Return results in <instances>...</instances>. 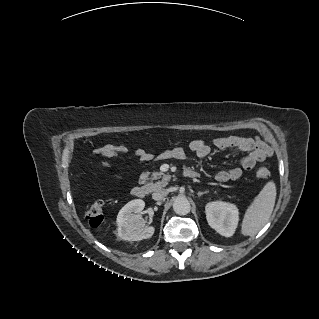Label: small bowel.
<instances>
[{
  "label": "small bowel",
  "instance_id": "small-bowel-1",
  "mask_svg": "<svg viewBox=\"0 0 319 319\" xmlns=\"http://www.w3.org/2000/svg\"><path fill=\"white\" fill-rule=\"evenodd\" d=\"M212 147L219 150L234 149L246 153L241 158L239 165L222 169L216 172L215 179L218 182L234 181L239 179L244 171H251L257 163L262 162L269 155L267 146L259 139L246 136H228L213 140L211 144L202 139L192 140L189 149L198 158L207 157ZM133 154L141 161L147 162L153 159L152 155L142 147L131 148L125 143H108L95 151V155L100 160L102 169L114 180H119V176L113 172L109 160L117 155ZM163 156L170 159L184 160L187 157L186 150L182 147L168 149L163 152Z\"/></svg>",
  "mask_w": 319,
  "mask_h": 319
}]
</instances>
